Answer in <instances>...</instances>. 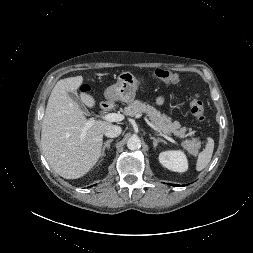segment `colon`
Returning <instances> with one entry per match:
<instances>
[{
  "instance_id": "1",
  "label": "colon",
  "mask_w": 253,
  "mask_h": 253,
  "mask_svg": "<svg viewBox=\"0 0 253 253\" xmlns=\"http://www.w3.org/2000/svg\"><path fill=\"white\" fill-rule=\"evenodd\" d=\"M153 76L165 83H177L179 81V76L177 73L163 68L156 69L153 73ZM190 109L191 113L198 122L202 123L205 121V109L199 95L196 94L192 96Z\"/></svg>"
}]
</instances>
